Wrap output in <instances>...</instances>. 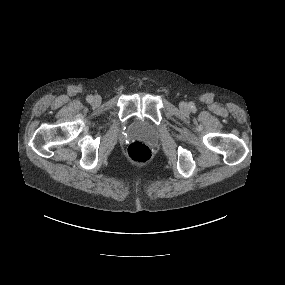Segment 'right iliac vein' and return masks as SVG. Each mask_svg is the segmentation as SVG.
Here are the masks:
<instances>
[{"mask_svg":"<svg viewBox=\"0 0 285 285\" xmlns=\"http://www.w3.org/2000/svg\"><path fill=\"white\" fill-rule=\"evenodd\" d=\"M93 102L95 105H99L101 103V98L99 96H95Z\"/></svg>","mask_w":285,"mask_h":285,"instance_id":"1","label":"right iliac vein"}]
</instances>
